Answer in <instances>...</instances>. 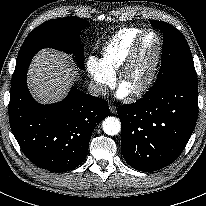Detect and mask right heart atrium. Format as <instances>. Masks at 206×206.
Wrapping results in <instances>:
<instances>
[{"mask_svg":"<svg viewBox=\"0 0 206 206\" xmlns=\"http://www.w3.org/2000/svg\"><path fill=\"white\" fill-rule=\"evenodd\" d=\"M86 68L92 80L94 92L99 96L104 95L114 84V77L108 74L94 58L88 60Z\"/></svg>","mask_w":206,"mask_h":206,"instance_id":"1","label":"right heart atrium"}]
</instances>
